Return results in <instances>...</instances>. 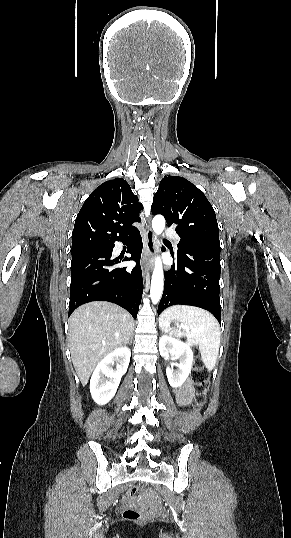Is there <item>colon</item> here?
Returning a JSON list of instances; mask_svg holds the SVG:
<instances>
[{
  "label": "colon",
  "instance_id": "5ec220e1",
  "mask_svg": "<svg viewBox=\"0 0 291 538\" xmlns=\"http://www.w3.org/2000/svg\"><path fill=\"white\" fill-rule=\"evenodd\" d=\"M192 380L195 385V397H194V406L193 410H197L203 406L206 401V393L209 387V374L204 366L200 363H197L193 374ZM140 490L137 487H131L127 491V497L130 499H135L139 496ZM124 518L130 521H144L145 517L140 512L127 509L124 511Z\"/></svg>",
  "mask_w": 291,
  "mask_h": 538
}]
</instances>
